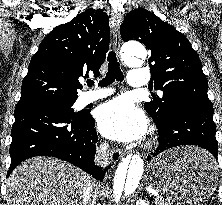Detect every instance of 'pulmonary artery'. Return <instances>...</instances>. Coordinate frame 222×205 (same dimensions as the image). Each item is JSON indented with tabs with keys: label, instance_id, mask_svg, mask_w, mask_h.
I'll return each instance as SVG.
<instances>
[{
	"label": "pulmonary artery",
	"instance_id": "1",
	"mask_svg": "<svg viewBox=\"0 0 222 205\" xmlns=\"http://www.w3.org/2000/svg\"><path fill=\"white\" fill-rule=\"evenodd\" d=\"M149 79L147 72L142 69H132L130 70L128 77V84L131 87L144 88L148 85ZM113 93L112 89H99L96 91L88 92L84 96V104H89L91 102L103 99Z\"/></svg>",
	"mask_w": 222,
	"mask_h": 205
}]
</instances>
